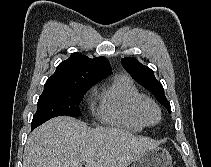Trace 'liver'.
Instances as JSON below:
<instances>
[{
    "label": "liver",
    "instance_id": "6515ba94",
    "mask_svg": "<svg viewBox=\"0 0 211 167\" xmlns=\"http://www.w3.org/2000/svg\"><path fill=\"white\" fill-rule=\"evenodd\" d=\"M157 147L119 128L88 127L74 118H53L28 137L23 167H128Z\"/></svg>",
    "mask_w": 211,
    "mask_h": 167
}]
</instances>
